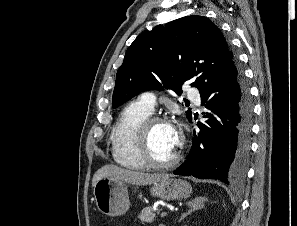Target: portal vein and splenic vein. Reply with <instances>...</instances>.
Instances as JSON below:
<instances>
[{
  "label": "portal vein and splenic vein",
  "instance_id": "18ae733b",
  "mask_svg": "<svg viewBox=\"0 0 297 226\" xmlns=\"http://www.w3.org/2000/svg\"><path fill=\"white\" fill-rule=\"evenodd\" d=\"M165 216H167V212H162L161 217H165Z\"/></svg>",
  "mask_w": 297,
  "mask_h": 226
}]
</instances>
